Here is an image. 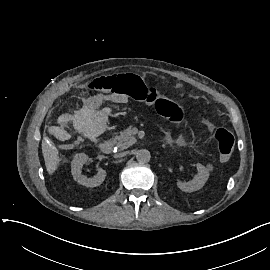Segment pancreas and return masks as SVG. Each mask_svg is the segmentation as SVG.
<instances>
[{"label":"pancreas","instance_id":"cf45deb5","mask_svg":"<svg viewBox=\"0 0 270 270\" xmlns=\"http://www.w3.org/2000/svg\"><path fill=\"white\" fill-rule=\"evenodd\" d=\"M115 138L118 140L117 146L120 150L129 148L136 141L131 134V128L124 130L120 136H115Z\"/></svg>","mask_w":270,"mask_h":270}]
</instances>
